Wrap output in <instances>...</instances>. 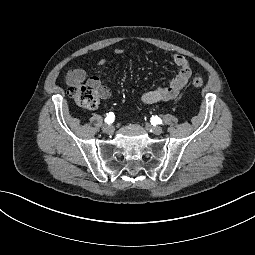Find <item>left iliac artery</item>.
Masks as SVG:
<instances>
[{
	"label": "left iliac artery",
	"mask_w": 255,
	"mask_h": 255,
	"mask_svg": "<svg viewBox=\"0 0 255 255\" xmlns=\"http://www.w3.org/2000/svg\"><path fill=\"white\" fill-rule=\"evenodd\" d=\"M151 123L152 124H162V120L158 116H152Z\"/></svg>",
	"instance_id": "left-iliac-artery-1"
}]
</instances>
